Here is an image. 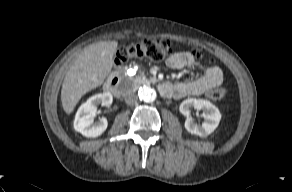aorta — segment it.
<instances>
[{
  "instance_id": "1",
  "label": "aorta",
  "mask_w": 292,
  "mask_h": 192,
  "mask_svg": "<svg viewBox=\"0 0 292 192\" xmlns=\"http://www.w3.org/2000/svg\"><path fill=\"white\" fill-rule=\"evenodd\" d=\"M138 96L143 102H153L156 99V91L154 88L148 85H144L139 88Z\"/></svg>"
}]
</instances>
